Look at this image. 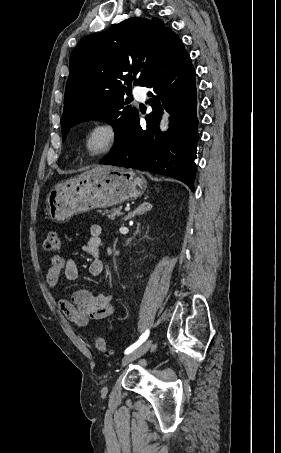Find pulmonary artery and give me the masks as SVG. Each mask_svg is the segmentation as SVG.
I'll return each mask as SVG.
<instances>
[{
    "mask_svg": "<svg viewBox=\"0 0 281 453\" xmlns=\"http://www.w3.org/2000/svg\"><path fill=\"white\" fill-rule=\"evenodd\" d=\"M146 90L144 89H136L133 90V96L135 97L136 100L138 101H144L146 98Z\"/></svg>",
    "mask_w": 281,
    "mask_h": 453,
    "instance_id": "obj_1",
    "label": "pulmonary artery"
}]
</instances>
